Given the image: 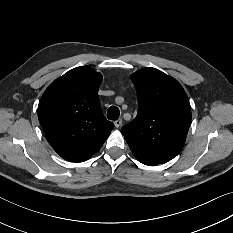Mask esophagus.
<instances>
[{"label":"esophagus","instance_id":"34e87169","mask_svg":"<svg viewBox=\"0 0 233 233\" xmlns=\"http://www.w3.org/2000/svg\"><path fill=\"white\" fill-rule=\"evenodd\" d=\"M121 124H122V119L121 118L114 122V125H115L116 128L120 127Z\"/></svg>","mask_w":233,"mask_h":233}]
</instances>
